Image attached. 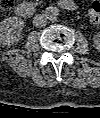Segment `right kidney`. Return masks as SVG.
<instances>
[{
    "label": "right kidney",
    "mask_w": 100,
    "mask_h": 118,
    "mask_svg": "<svg viewBox=\"0 0 100 118\" xmlns=\"http://www.w3.org/2000/svg\"><path fill=\"white\" fill-rule=\"evenodd\" d=\"M23 21L14 16L2 20L0 23V42L3 45L11 46L16 44L21 37Z\"/></svg>",
    "instance_id": "right-kidney-1"
}]
</instances>
